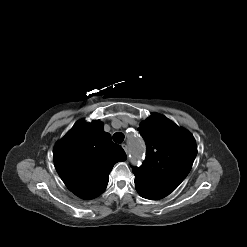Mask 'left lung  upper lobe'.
Instances as JSON below:
<instances>
[{
    "mask_svg": "<svg viewBox=\"0 0 247 247\" xmlns=\"http://www.w3.org/2000/svg\"><path fill=\"white\" fill-rule=\"evenodd\" d=\"M146 142L142 166L133 167L135 186L158 198L173 192L191 170L197 155L196 141L168 118L152 114L138 128Z\"/></svg>",
    "mask_w": 247,
    "mask_h": 247,
    "instance_id": "5c2ea615",
    "label": "left lung upper lobe"
}]
</instances>
